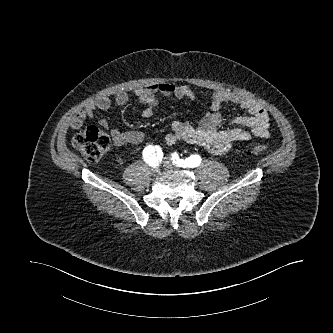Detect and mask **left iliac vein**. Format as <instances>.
<instances>
[{"instance_id":"obj_1","label":"left iliac vein","mask_w":333,"mask_h":333,"mask_svg":"<svg viewBox=\"0 0 333 333\" xmlns=\"http://www.w3.org/2000/svg\"><path fill=\"white\" fill-rule=\"evenodd\" d=\"M163 166L165 168H168V169H172L173 168V164L170 161H167V160L164 161Z\"/></svg>"}]
</instances>
